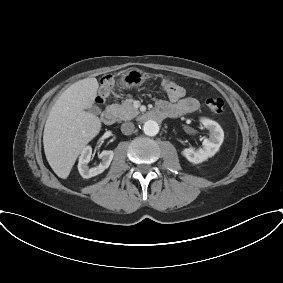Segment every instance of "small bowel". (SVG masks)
Here are the masks:
<instances>
[{
  "mask_svg": "<svg viewBox=\"0 0 283 283\" xmlns=\"http://www.w3.org/2000/svg\"><path fill=\"white\" fill-rule=\"evenodd\" d=\"M169 99L170 102L159 101L156 105V110H170L173 112L172 117H177L193 113L199 109V101L195 97L186 96L178 99L169 97Z\"/></svg>",
  "mask_w": 283,
  "mask_h": 283,
  "instance_id": "small-bowel-1",
  "label": "small bowel"
}]
</instances>
